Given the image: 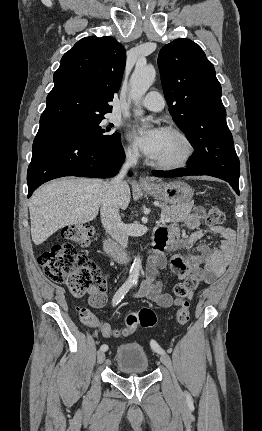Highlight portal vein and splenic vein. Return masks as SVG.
<instances>
[{"mask_svg": "<svg viewBox=\"0 0 262 431\" xmlns=\"http://www.w3.org/2000/svg\"><path fill=\"white\" fill-rule=\"evenodd\" d=\"M170 221V218L169 217H165V216H163L162 218H161V222H169Z\"/></svg>", "mask_w": 262, "mask_h": 431, "instance_id": "18ae733b", "label": "portal vein and splenic vein"}]
</instances>
